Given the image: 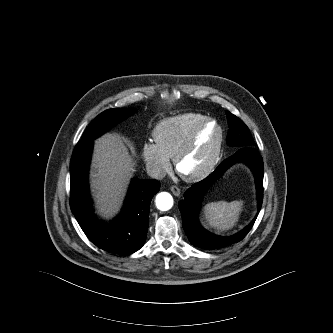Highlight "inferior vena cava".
I'll list each match as a JSON object with an SVG mask.
<instances>
[{
  "label": "inferior vena cava",
  "instance_id": "602c4592",
  "mask_svg": "<svg viewBox=\"0 0 333 333\" xmlns=\"http://www.w3.org/2000/svg\"><path fill=\"white\" fill-rule=\"evenodd\" d=\"M147 174L154 179L161 180L166 176V172L164 169L160 168L157 165L147 166Z\"/></svg>",
  "mask_w": 333,
  "mask_h": 333
}]
</instances>
